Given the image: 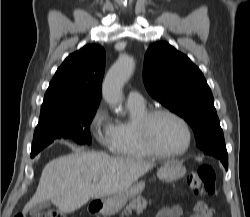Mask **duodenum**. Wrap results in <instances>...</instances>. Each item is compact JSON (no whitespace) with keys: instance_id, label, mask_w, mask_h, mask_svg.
<instances>
[{"instance_id":"duodenum-1","label":"duodenum","mask_w":250,"mask_h":217,"mask_svg":"<svg viewBox=\"0 0 250 217\" xmlns=\"http://www.w3.org/2000/svg\"><path fill=\"white\" fill-rule=\"evenodd\" d=\"M101 209H102V205L101 204H96V203H93L89 206V211L91 213H94V214H97V213H100L101 212Z\"/></svg>"}]
</instances>
